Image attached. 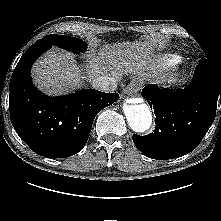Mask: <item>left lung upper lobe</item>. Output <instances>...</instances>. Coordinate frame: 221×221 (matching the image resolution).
I'll return each mask as SVG.
<instances>
[{
	"instance_id": "obj_1",
	"label": "left lung upper lobe",
	"mask_w": 221,
	"mask_h": 221,
	"mask_svg": "<svg viewBox=\"0 0 221 221\" xmlns=\"http://www.w3.org/2000/svg\"><path fill=\"white\" fill-rule=\"evenodd\" d=\"M199 65H210V64H209V61H208V60L202 59V60L200 61Z\"/></svg>"
}]
</instances>
